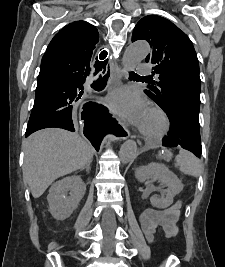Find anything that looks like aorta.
I'll list each match as a JSON object with an SVG mask.
<instances>
[{"instance_id":"obj_1","label":"aorta","mask_w":225,"mask_h":267,"mask_svg":"<svg viewBox=\"0 0 225 267\" xmlns=\"http://www.w3.org/2000/svg\"><path fill=\"white\" fill-rule=\"evenodd\" d=\"M150 52L146 41H137L130 44L123 55V67L126 71L133 70ZM137 155V145L133 140L124 142L119 151V158L123 164L132 162Z\"/></svg>"}]
</instances>
